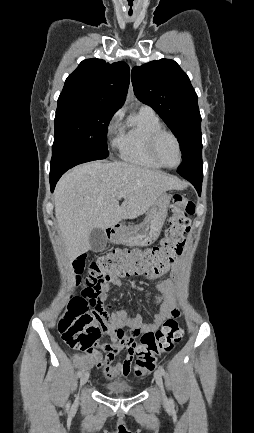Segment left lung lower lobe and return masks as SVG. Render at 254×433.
I'll return each instance as SVG.
<instances>
[{
  "label": "left lung lower lobe",
  "mask_w": 254,
  "mask_h": 433,
  "mask_svg": "<svg viewBox=\"0 0 254 433\" xmlns=\"http://www.w3.org/2000/svg\"><path fill=\"white\" fill-rule=\"evenodd\" d=\"M181 176L184 177L185 179H187L188 181H190L194 185V187L196 188V190L200 196L201 195L203 175L186 173V174H181Z\"/></svg>",
  "instance_id": "0a47b994"
}]
</instances>
